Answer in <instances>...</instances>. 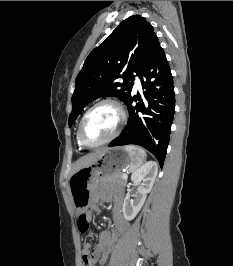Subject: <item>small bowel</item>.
<instances>
[{"label": "small bowel", "mask_w": 233, "mask_h": 266, "mask_svg": "<svg viewBox=\"0 0 233 266\" xmlns=\"http://www.w3.org/2000/svg\"><path fill=\"white\" fill-rule=\"evenodd\" d=\"M98 198L99 196L97 195L95 197V200H98ZM102 198L106 201L110 200L108 196H103ZM92 210L94 212H99V209L97 208L96 205L92 206ZM113 222H114V227L112 229L106 230L100 233L98 243L93 249L89 241H85L83 243L82 254H83V261L86 266H93L97 262L100 264L106 263L108 256L119 234L121 232H124L127 229L128 223L126 219L124 218L122 211H121V199L120 198L114 199ZM86 257L91 258V262L89 265H87L85 262Z\"/></svg>", "instance_id": "1"}]
</instances>
